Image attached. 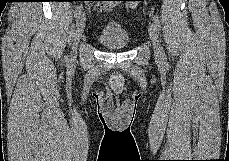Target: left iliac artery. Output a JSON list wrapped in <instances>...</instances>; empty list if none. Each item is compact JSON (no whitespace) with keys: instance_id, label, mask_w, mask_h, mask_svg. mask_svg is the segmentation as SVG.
I'll use <instances>...</instances> for the list:
<instances>
[{"instance_id":"1","label":"left iliac artery","mask_w":229,"mask_h":161,"mask_svg":"<svg viewBox=\"0 0 229 161\" xmlns=\"http://www.w3.org/2000/svg\"><path fill=\"white\" fill-rule=\"evenodd\" d=\"M153 21H154V26L157 30L160 29V20L158 18L157 15H154L153 17ZM162 59L164 60L165 59V53L162 51Z\"/></svg>"}]
</instances>
